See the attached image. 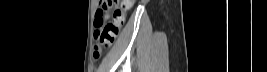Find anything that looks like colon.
Returning a JSON list of instances; mask_svg holds the SVG:
<instances>
[{"label":"colon","instance_id":"5ec220e1","mask_svg":"<svg viewBox=\"0 0 267 72\" xmlns=\"http://www.w3.org/2000/svg\"><path fill=\"white\" fill-rule=\"evenodd\" d=\"M127 2L120 0H104L101 2L102 7L98 9L97 18L94 22L96 44L93 55L95 58L100 57L102 47H109L115 42L120 29L118 19L125 15ZM112 9L113 21H104L103 18L107 19Z\"/></svg>","mask_w":267,"mask_h":72}]
</instances>
